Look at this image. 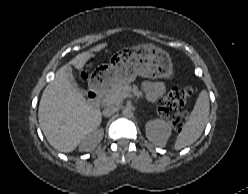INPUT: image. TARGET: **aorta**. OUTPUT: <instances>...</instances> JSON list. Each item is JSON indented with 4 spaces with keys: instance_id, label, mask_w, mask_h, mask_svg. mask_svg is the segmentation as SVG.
Instances as JSON below:
<instances>
[{
    "instance_id": "aorta-1",
    "label": "aorta",
    "mask_w": 248,
    "mask_h": 194,
    "mask_svg": "<svg viewBox=\"0 0 248 194\" xmlns=\"http://www.w3.org/2000/svg\"><path fill=\"white\" fill-rule=\"evenodd\" d=\"M124 117H131L133 115L132 109L130 107H125L122 111Z\"/></svg>"
}]
</instances>
